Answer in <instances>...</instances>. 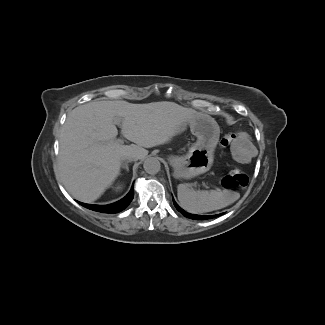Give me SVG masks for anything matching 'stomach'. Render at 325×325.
Here are the masks:
<instances>
[{"mask_svg":"<svg viewBox=\"0 0 325 325\" xmlns=\"http://www.w3.org/2000/svg\"><path fill=\"white\" fill-rule=\"evenodd\" d=\"M190 126L193 134L198 137L201 145H195L188 156L173 157L170 162L174 167L175 175L189 178L208 171L213 162V153L210 148L215 144L220 135L217 122L207 114L194 112L181 119L169 131L171 138H176L178 132Z\"/></svg>","mask_w":325,"mask_h":325,"instance_id":"obj_1","label":"stomach"}]
</instances>
